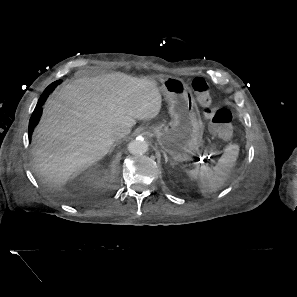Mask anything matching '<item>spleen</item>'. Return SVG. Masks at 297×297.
<instances>
[{
    "label": "spleen",
    "instance_id": "spleen-1",
    "mask_svg": "<svg viewBox=\"0 0 297 297\" xmlns=\"http://www.w3.org/2000/svg\"><path fill=\"white\" fill-rule=\"evenodd\" d=\"M238 152V145H229L215 166H202L187 171L188 176L197 181L202 195L215 192L225 184L235 166Z\"/></svg>",
    "mask_w": 297,
    "mask_h": 297
}]
</instances>
